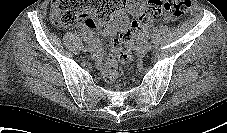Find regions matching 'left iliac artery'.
I'll use <instances>...</instances> for the list:
<instances>
[{"mask_svg": "<svg viewBox=\"0 0 227 133\" xmlns=\"http://www.w3.org/2000/svg\"><path fill=\"white\" fill-rule=\"evenodd\" d=\"M147 38H148V36H147ZM146 46H147L148 50L151 49V44L150 43H146Z\"/></svg>", "mask_w": 227, "mask_h": 133, "instance_id": "44dca946", "label": "left iliac artery"}]
</instances>
